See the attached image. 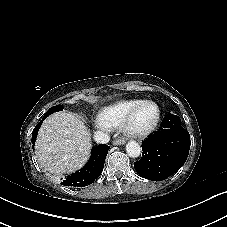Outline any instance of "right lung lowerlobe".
<instances>
[{"label": "right lung lower lobe", "instance_id": "obj_1", "mask_svg": "<svg viewBox=\"0 0 227 227\" xmlns=\"http://www.w3.org/2000/svg\"><path fill=\"white\" fill-rule=\"evenodd\" d=\"M43 118L34 128L32 133V144L34 146L38 130L42 124ZM109 146L101 144L91 151V158L87 164L78 172L62 179L61 185L75 188L85 187L94 182V180L102 173L105 159L109 150ZM34 149V147H33Z\"/></svg>", "mask_w": 227, "mask_h": 227}]
</instances>
